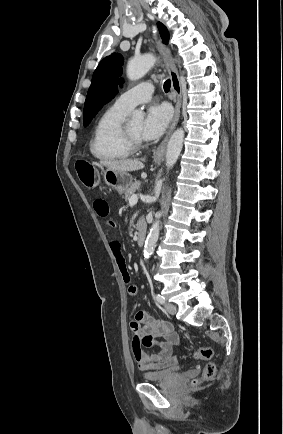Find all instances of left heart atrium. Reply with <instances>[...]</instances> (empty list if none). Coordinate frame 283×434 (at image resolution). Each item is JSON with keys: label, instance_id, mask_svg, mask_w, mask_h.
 Returning <instances> with one entry per match:
<instances>
[{"label": "left heart atrium", "instance_id": "obj_1", "mask_svg": "<svg viewBox=\"0 0 283 434\" xmlns=\"http://www.w3.org/2000/svg\"><path fill=\"white\" fill-rule=\"evenodd\" d=\"M171 119V109L166 104H154L147 110L141 128V137L156 140L163 135Z\"/></svg>", "mask_w": 283, "mask_h": 434}]
</instances>
